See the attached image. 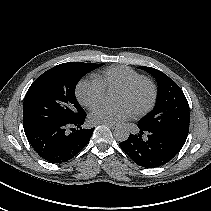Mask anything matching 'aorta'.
Returning a JSON list of instances; mask_svg holds the SVG:
<instances>
[{
	"label": "aorta",
	"mask_w": 211,
	"mask_h": 211,
	"mask_svg": "<svg viewBox=\"0 0 211 211\" xmlns=\"http://www.w3.org/2000/svg\"><path fill=\"white\" fill-rule=\"evenodd\" d=\"M114 137L120 142L125 141L129 137V130L126 127H118L114 131Z\"/></svg>",
	"instance_id": "1"
}]
</instances>
